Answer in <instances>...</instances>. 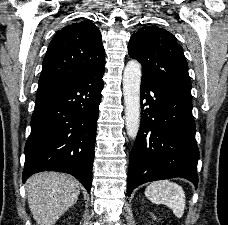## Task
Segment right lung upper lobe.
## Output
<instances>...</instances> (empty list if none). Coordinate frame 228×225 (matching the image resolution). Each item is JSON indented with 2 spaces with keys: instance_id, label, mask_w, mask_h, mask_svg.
I'll use <instances>...</instances> for the list:
<instances>
[{
  "instance_id": "cb5924a9",
  "label": "right lung upper lobe",
  "mask_w": 228,
  "mask_h": 225,
  "mask_svg": "<svg viewBox=\"0 0 228 225\" xmlns=\"http://www.w3.org/2000/svg\"><path fill=\"white\" fill-rule=\"evenodd\" d=\"M104 53L101 33L91 21L64 27L47 49L39 87L75 78L104 64Z\"/></svg>"
}]
</instances>
